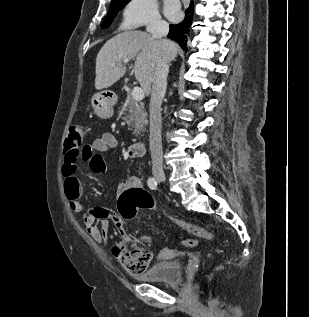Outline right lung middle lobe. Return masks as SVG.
I'll use <instances>...</instances> for the list:
<instances>
[{"label":"right lung middle lobe","instance_id":"1","mask_svg":"<svg viewBox=\"0 0 309 317\" xmlns=\"http://www.w3.org/2000/svg\"><path fill=\"white\" fill-rule=\"evenodd\" d=\"M130 0H112L109 12L105 19L103 20L101 27L107 28L111 24L112 20L116 16L119 10H121L125 4H127Z\"/></svg>","mask_w":309,"mask_h":317}]
</instances>
